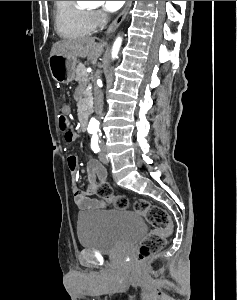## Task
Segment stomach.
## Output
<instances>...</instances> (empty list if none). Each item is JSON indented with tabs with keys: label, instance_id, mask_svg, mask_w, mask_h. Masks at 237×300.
Listing matches in <instances>:
<instances>
[{
	"label": "stomach",
	"instance_id": "stomach-1",
	"mask_svg": "<svg viewBox=\"0 0 237 300\" xmlns=\"http://www.w3.org/2000/svg\"><path fill=\"white\" fill-rule=\"evenodd\" d=\"M48 63L54 81H57V83H71V81H74L75 57H71V55H51Z\"/></svg>",
	"mask_w": 237,
	"mask_h": 300
}]
</instances>
